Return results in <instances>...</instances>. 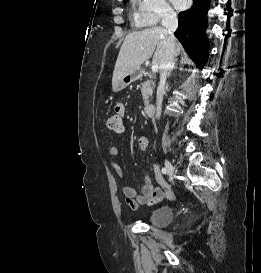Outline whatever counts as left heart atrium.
Wrapping results in <instances>:
<instances>
[{
  "label": "left heart atrium",
  "mask_w": 261,
  "mask_h": 273,
  "mask_svg": "<svg viewBox=\"0 0 261 273\" xmlns=\"http://www.w3.org/2000/svg\"><path fill=\"white\" fill-rule=\"evenodd\" d=\"M178 8H183L186 5L187 0H172Z\"/></svg>",
  "instance_id": "39dd6f15"
}]
</instances>
